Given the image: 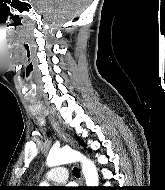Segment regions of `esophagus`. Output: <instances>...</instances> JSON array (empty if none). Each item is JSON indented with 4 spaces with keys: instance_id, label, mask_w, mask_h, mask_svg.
Instances as JSON below:
<instances>
[{
    "instance_id": "esophagus-1",
    "label": "esophagus",
    "mask_w": 165,
    "mask_h": 190,
    "mask_svg": "<svg viewBox=\"0 0 165 190\" xmlns=\"http://www.w3.org/2000/svg\"><path fill=\"white\" fill-rule=\"evenodd\" d=\"M52 124L61 139L65 142H69L70 144H73L72 140L70 139L69 135L65 133L64 129L61 128L60 124L56 121L54 117H52Z\"/></svg>"
}]
</instances>
